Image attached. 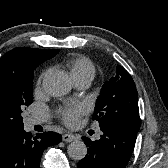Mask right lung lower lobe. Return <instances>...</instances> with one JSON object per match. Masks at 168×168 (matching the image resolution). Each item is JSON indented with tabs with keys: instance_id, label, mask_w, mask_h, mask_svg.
Segmentation results:
<instances>
[{
	"instance_id": "98d812e1",
	"label": "right lung lower lobe",
	"mask_w": 168,
	"mask_h": 168,
	"mask_svg": "<svg viewBox=\"0 0 168 168\" xmlns=\"http://www.w3.org/2000/svg\"><path fill=\"white\" fill-rule=\"evenodd\" d=\"M60 141L55 132L32 136L23 127L9 131L0 137V168H39L43 151Z\"/></svg>"
}]
</instances>
